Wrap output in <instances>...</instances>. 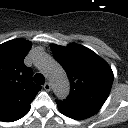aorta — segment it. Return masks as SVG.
Here are the masks:
<instances>
[{
  "instance_id": "obj_1",
  "label": "aorta",
  "mask_w": 128,
  "mask_h": 128,
  "mask_svg": "<svg viewBox=\"0 0 128 128\" xmlns=\"http://www.w3.org/2000/svg\"><path fill=\"white\" fill-rule=\"evenodd\" d=\"M37 64L47 74L55 96L65 99L69 95L70 84L63 68L48 55H41Z\"/></svg>"
}]
</instances>
